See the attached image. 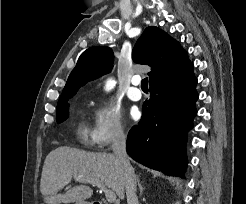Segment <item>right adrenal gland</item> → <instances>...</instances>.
Returning <instances> with one entry per match:
<instances>
[{
  "label": "right adrenal gland",
  "instance_id": "right-adrenal-gland-1",
  "mask_svg": "<svg viewBox=\"0 0 246 204\" xmlns=\"http://www.w3.org/2000/svg\"><path fill=\"white\" fill-rule=\"evenodd\" d=\"M136 180H137L138 187H139V195L141 196L143 194V185L140 182L139 175H136Z\"/></svg>",
  "mask_w": 246,
  "mask_h": 204
}]
</instances>
